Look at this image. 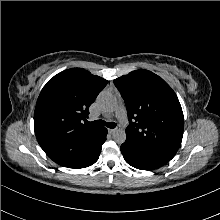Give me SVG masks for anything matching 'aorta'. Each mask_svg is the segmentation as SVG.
Returning <instances> with one entry per match:
<instances>
[{
  "instance_id": "1",
  "label": "aorta",
  "mask_w": 220,
  "mask_h": 220,
  "mask_svg": "<svg viewBox=\"0 0 220 220\" xmlns=\"http://www.w3.org/2000/svg\"><path fill=\"white\" fill-rule=\"evenodd\" d=\"M97 101L100 105L101 108L104 110H111L115 107L116 105V99L115 97L108 92H102L99 94ZM112 138L115 143L117 144H122L126 140V133L123 129H115Z\"/></svg>"
}]
</instances>
